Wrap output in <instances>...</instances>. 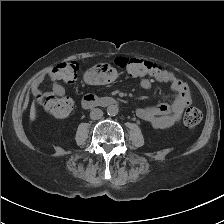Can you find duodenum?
I'll return each instance as SVG.
<instances>
[{
    "label": "duodenum",
    "instance_id": "1",
    "mask_svg": "<svg viewBox=\"0 0 224 224\" xmlns=\"http://www.w3.org/2000/svg\"><path fill=\"white\" fill-rule=\"evenodd\" d=\"M118 104V100L110 96H88L82 100L83 109H89L93 106L110 107Z\"/></svg>",
    "mask_w": 224,
    "mask_h": 224
}]
</instances>
